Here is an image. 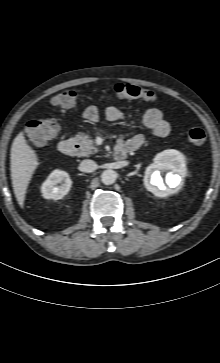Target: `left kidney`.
<instances>
[{
    "label": "left kidney",
    "instance_id": "obj_1",
    "mask_svg": "<svg viewBox=\"0 0 220 363\" xmlns=\"http://www.w3.org/2000/svg\"><path fill=\"white\" fill-rule=\"evenodd\" d=\"M160 170L170 171L165 178L168 187L163 183ZM186 172L184 156L176 150H165L158 153L154 162L146 168L144 185L155 196L166 197L179 190L182 177L186 175Z\"/></svg>",
    "mask_w": 220,
    "mask_h": 363
}]
</instances>
